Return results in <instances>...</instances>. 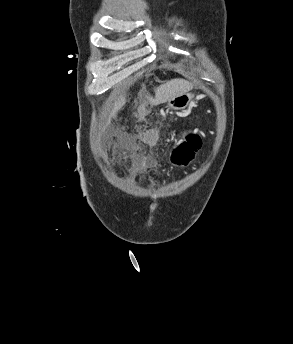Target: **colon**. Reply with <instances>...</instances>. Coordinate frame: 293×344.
<instances>
[{
	"mask_svg": "<svg viewBox=\"0 0 293 344\" xmlns=\"http://www.w3.org/2000/svg\"><path fill=\"white\" fill-rule=\"evenodd\" d=\"M120 138L130 137L129 131H123L118 135ZM201 147V140L198 135L188 132L181 137L174 153V160L177 164H186Z\"/></svg>",
	"mask_w": 293,
	"mask_h": 344,
	"instance_id": "5ec220e1",
	"label": "colon"
}]
</instances>
